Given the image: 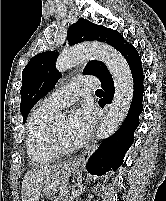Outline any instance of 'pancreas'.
<instances>
[{"label":"pancreas","mask_w":166,"mask_h":201,"mask_svg":"<svg viewBox=\"0 0 166 201\" xmlns=\"http://www.w3.org/2000/svg\"><path fill=\"white\" fill-rule=\"evenodd\" d=\"M56 201H67L66 198H60L59 200Z\"/></svg>","instance_id":"obj_1"}]
</instances>
